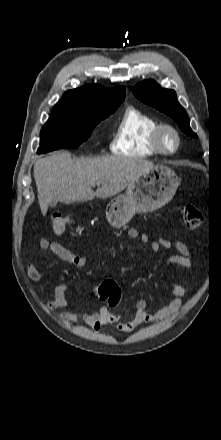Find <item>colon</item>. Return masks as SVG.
<instances>
[{"instance_id": "5ec220e1", "label": "colon", "mask_w": 221, "mask_h": 440, "mask_svg": "<svg viewBox=\"0 0 221 440\" xmlns=\"http://www.w3.org/2000/svg\"><path fill=\"white\" fill-rule=\"evenodd\" d=\"M182 218L184 225L189 229H196L203 223L201 211L193 205L187 204L182 207ZM51 226L56 234H63L72 223L71 217L63 211H55L50 216ZM96 292L101 300H106V306L113 313L117 306V301L121 295V289L113 280L100 283Z\"/></svg>"}]
</instances>
